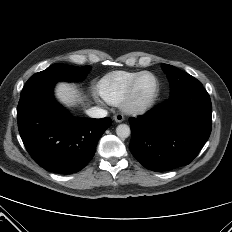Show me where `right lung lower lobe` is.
<instances>
[{"instance_id":"obj_1","label":"right lung lower lobe","mask_w":232,"mask_h":232,"mask_svg":"<svg viewBox=\"0 0 232 232\" xmlns=\"http://www.w3.org/2000/svg\"><path fill=\"white\" fill-rule=\"evenodd\" d=\"M54 84L21 94L17 109L20 136L30 156L46 170L71 174L84 168L110 118L72 117L53 97Z\"/></svg>"}]
</instances>
